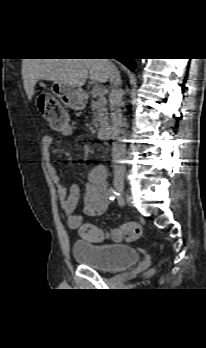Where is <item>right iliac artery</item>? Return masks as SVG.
Segmentation results:
<instances>
[{"mask_svg": "<svg viewBox=\"0 0 206 348\" xmlns=\"http://www.w3.org/2000/svg\"><path fill=\"white\" fill-rule=\"evenodd\" d=\"M117 195H118V193L116 192V190L114 188L108 189V197L110 200H114Z\"/></svg>", "mask_w": 206, "mask_h": 348, "instance_id": "obj_1", "label": "right iliac artery"}]
</instances>
